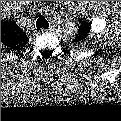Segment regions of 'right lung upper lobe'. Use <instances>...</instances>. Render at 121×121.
Instances as JSON below:
<instances>
[{"label": "right lung upper lobe", "instance_id": "obj_1", "mask_svg": "<svg viewBox=\"0 0 121 121\" xmlns=\"http://www.w3.org/2000/svg\"><path fill=\"white\" fill-rule=\"evenodd\" d=\"M27 35L12 21L4 22L1 25V42L11 50H20L27 41Z\"/></svg>", "mask_w": 121, "mask_h": 121}]
</instances>
